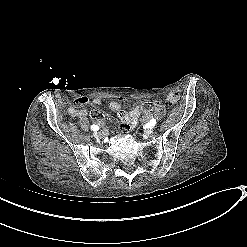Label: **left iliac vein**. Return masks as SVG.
Segmentation results:
<instances>
[{
	"mask_svg": "<svg viewBox=\"0 0 247 247\" xmlns=\"http://www.w3.org/2000/svg\"><path fill=\"white\" fill-rule=\"evenodd\" d=\"M152 133H153V128H152V127L148 128V129H146V130L144 131V134H145V135H151Z\"/></svg>",
	"mask_w": 247,
	"mask_h": 247,
	"instance_id": "1",
	"label": "left iliac vein"
}]
</instances>
